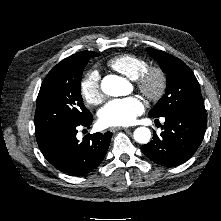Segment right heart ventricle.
Instances as JSON below:
<instances>
[{
  "label": "right heart ventricle",
  "instance_id": "obj_1",
  "mask_svg": "<svg viewBox=\"0 0 221 221\" xmlns=\"http://www.w3.org/2000/svg\"><path fill=\"white\" fill-rule=\"evenodd\" d=\"M107 65L131 80L137 79L148 68V62L144 58L133 54L115 56L108 61Z\"/></svg>",
  "mask_w": 221,
  "mask_h": 221
}]
</instances>
